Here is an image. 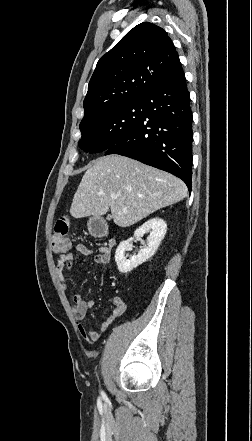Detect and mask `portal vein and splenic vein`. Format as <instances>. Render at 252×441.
Returning <instances> with one entry per match:
<instances>
[{
	"instance_id": "1",
	"label": "portal vein and splenic vein",
	"mask_w": 252,
	"mask_h": 441,
	"mask_svg": "<svg viewBox=\"0 0 252 441\" xmlns=\"http://www.w3.org/2000/svg\"><path fill=\"white\" fill-rule=\"evenodd\" d=\"M111 198H112V199H116L117 196H116V195H111Z\"/></svg>"
}]
</instances>
